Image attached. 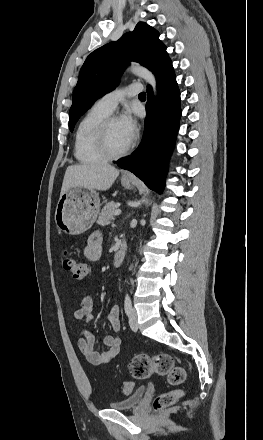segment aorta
<instances>
[{"label":"aorta","instance_id":"aorta-1","mask_svg":"<svg viewBox=\"0 0 263 440\" xmlns=\"http://www.w3.org/2000/svg\"><path fill=\"white\" fill-rule=\"evenodd\" d=\"M129 71L134 75L143 78L147 83L152 86L154 95L157 94L156 78L148 69L140 65L133 64L130 66Z\"/></svg>","mask_w":263,"mask_h":440}]
</instances>
